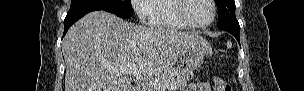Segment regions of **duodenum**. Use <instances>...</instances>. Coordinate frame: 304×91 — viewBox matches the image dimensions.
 <instances>
[{"label": "duodenum", "mask_w": 304, "mask_h": 91, "mask_svg": "<svg viewBox=\"0 0 304 91\" xmlns=\"http://www.w3.org/2000/svg\"><path fill=\"white\" fill-rule=\"evenodd\" d=\"M132 91H140V89H136V88H135V89H132Z\"/></svg>", "instance_id": "410a0bca"}]
</instances>
